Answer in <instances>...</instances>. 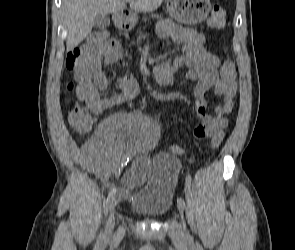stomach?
I'll return each instance as SVG.
<instances>
[{
  "label": "stomach",
  "mask_w": 295,
  "mask_h": 250,
  "mask_svg": "<svg viewBox=\"0 0 295 250\" xmlns=\"http://www.w3.org/2000/svg\"><path fill=\"white\" fill-rule=\"evenodd\" d=\"M211 9L210 0H167V11L176 21L186 24H196L203 21ZM137 22V16L131 14L124 26L132 28Z\"/></svg>",
  "instance_id": "obj_1"
}]
</instances>
